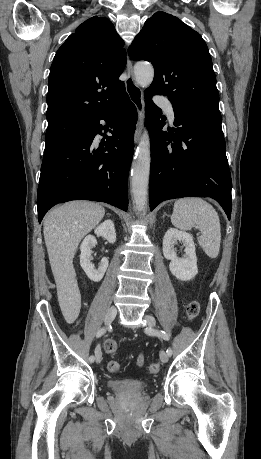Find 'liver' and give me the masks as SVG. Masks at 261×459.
Instances as JSON below:
<instances>
[{
    "mask_svg": "<svg viewBox=\"0 0 261 459\" xmlns=\"http://www.w3.org/2000/svg\"><path fill=\"white\" fill-rule=\"evenodd\" d=\"M104 215L105 209L97 203L72 201L53 209L44 219V240L63 309L74 307L78 298L73 267L78 245Z\"/></svg>",
    "mask_w": 261,
    "mask_h": 459,
    "instance_id": "1",
    "label": "liver"
}]
</instances>
